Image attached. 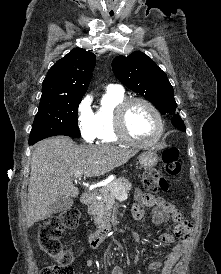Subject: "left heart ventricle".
<instances>
[{
  "instance_id": "1",
  "label": "left heart ventricle",
  "mask_w": 221,
  "mask_h": 274,
  "mask_svg": "<svg viewBox=\"0 0 221 274\" xmlns=\"http://www.w3.org/2000/svg\"><path fill=\"white\" fill-rule=\"evenodd\" d=\"M126 127L131 137L146 142L154 138L157 121L151 110L143 104H133L127 112Z\"/></svg>"
}]
</instances>
